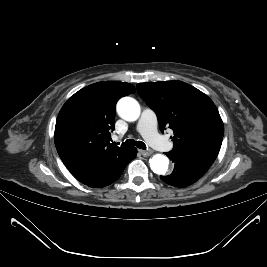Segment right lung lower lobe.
Here are the masks:
<instances>
[{"mask_svg":"<svg viewBox=\"0 0 267 267\" xmlns=\"http://www.w3.org/2000/svg\"><path fill=\"white\" fill-rule=\"evenodd\" d=\"M136 154V148H130V150L125 156L113 161L108 166H106L100 173H98L92 179L83 184L92 188H100L110 185L121 176L126 165L136 157Z\"/></svg>","mask_w":267,"mask_h":267,"instance_id":"right-lung-lower-lobe-1","label":"right lung lower lobe"}]
</instances>
